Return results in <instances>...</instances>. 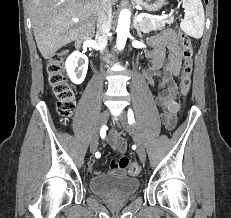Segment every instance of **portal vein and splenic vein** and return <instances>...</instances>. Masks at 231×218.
<instances>
[{
	"instance_id": "1",
	"label": "portal vein and splenic vein",
	"mask_w": 231,
	"mask_h": 218,
	"mask_svg": "<svg viewBox=\"0 0 231 218\" xmlns=\"http://www.w3.org/2000/svg\"><path fill=\"white\" fill-rule=\"evenodd\" d=\"M145 16H147V15H145V14H140V15H138L137 21L140 22ZM149 17L154 18V19H157V20H163V19H166V18H167V15H162V16H149ZM72 21L75 22V23H77V22L79 21V19H78V18H73Z\"/></svg>"
}]
</instances>
